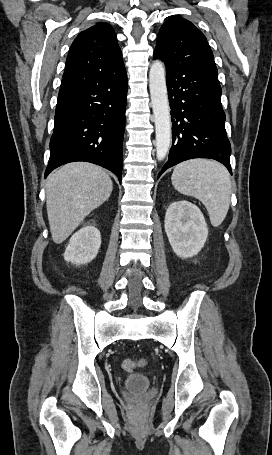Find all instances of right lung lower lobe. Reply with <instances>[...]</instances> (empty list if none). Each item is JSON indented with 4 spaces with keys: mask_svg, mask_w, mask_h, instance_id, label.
<instances>
[{
    "mask_svg": "<svg viewBox=\"0 0 272 455\" xmlns=\"http://www.w3.org/2000/svg\"><path fill=\"white\" fill-rule=\"evenodd\" d=\"M127 75L58 96L45 177L60 165L86 161L122 176Z\"/></svg>",
    "mask_w": 272,
    "mask_h": 455,
    "instance_id": "98d812e1",
    "label": "right lung lower lobe"
}]
</instances>
